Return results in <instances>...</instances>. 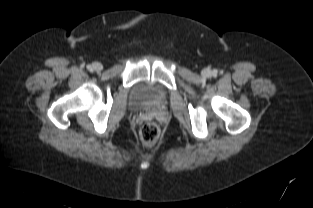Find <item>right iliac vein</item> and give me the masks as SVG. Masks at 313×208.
<instances>
[{
    "instance_id": "1",
    "label": "right iliac vein",
    "mask_w": 313,
    "mask_h": 208,
    "mask_svg": "<svg viewBox=\"0 0 313 208\" xmlns=\"http://www.w3.org/2000/svg\"><path fill=\"white\" fill-rule=\"evenodd\" d=\"M92 69L96 72H99L103 69V66L101 63L95 62L92 64Z\"/></svg>"
}]
</instances>
